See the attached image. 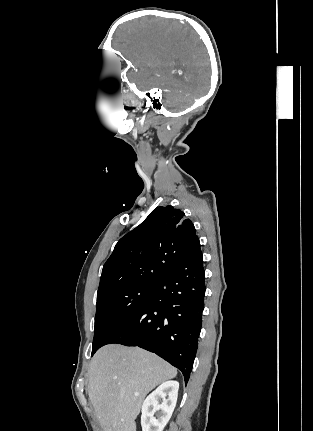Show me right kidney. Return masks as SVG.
<instances>
[{
	"label": "right kidney",
	"mask_w": 313,
	"mask_h": 431,
	"mask_svg": "<svg viewBox=\"0 0 313 431\" xmlns=\"http://www.w3.org/2000/svg\"><path fill=\"white\" fill-rule=\"evenodd\" d=\"M178 389L177 381H166L144 400L141 415L142 431H163L176 406ZM159 400L162 402L159 403Z\"/></svg>",
	"instance_id": "ca27d5eb"
}]
</instances>
